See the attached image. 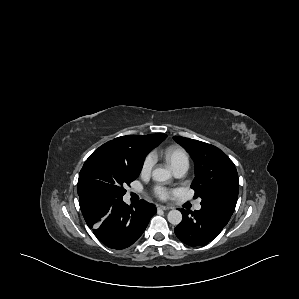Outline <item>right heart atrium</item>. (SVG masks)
<instances>
[{"label":"right heart atrium","instance_id":"obj_1","mask_svg":"<svg viewBox=\"0 0 299 299\" xmlns=\"http://www.w3.org/2000/svg\"><path fill=\"white\" fill-rule=\"evenodd\" d=\"M154 164H155L154 156L152 154L147 155L141 166V174L149 175L154 167Z\"/></svg>","mask_w":299,"mask_h":299}]
</instances>
